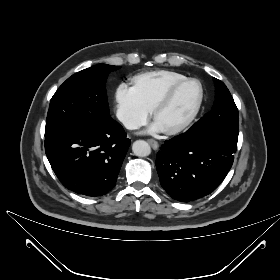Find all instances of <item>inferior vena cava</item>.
I'll use <instances>...</instances> for the list:
<instances>
[{"label": "inferior vena cava", "instance_id": "obj_1", "mask_svg": "<svg viewBox=\"0 0 280 280\" xmlns=\"http://www.w3.org/2000/svg\"><path fill=\"white\" fill-rule=\"evenodd\" d=\"M119 119L127 129L135 130L140 128V123L132 117H129L127 115H121L119 116Z\"/></svg>", "mask_w": 280, "mask_h": 280}]
</instances>
